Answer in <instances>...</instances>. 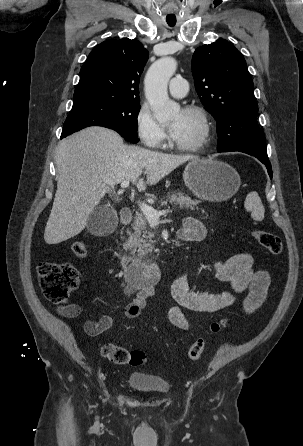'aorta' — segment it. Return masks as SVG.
Masks as SVG:
<instances>
[{
    "label": "aorta",
    "instance_id": "1",
    "mask_svg": "<svg viewBox=\"0 0 303 446\" xmlns=\"http://www.w3.org/2000/svg\"><path fill=\"white\" fill-rule=\"evenodd\" d=\"M177 68L176 61L164 57L154 62L145 76V95L158 122L173 118L179 106L168 97L167 86Z\"/></svg>",
    "mask_w": 303,
    "mask_h": 446
}]
</instances>
